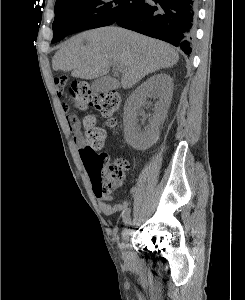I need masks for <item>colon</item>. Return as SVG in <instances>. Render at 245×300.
<instances>
[{
	"label": "colon",
	"instance_id": "5ec220e1",
	"mask_svg": "<svg viewBox=\"0 0 245 300\" xmlns=\"http://www.w3.org/2000/svg\"><path fill=\"white\" fill-rule=\"evenodd\" d=\"M59 94H68L79 108L90 106L98 110L107 119V125H116L115 114L120 106V96L115 91L93 92L85 81H75L68 85L64 76L55 79ZM85 144L79 152L85 168L90 176L94 192L100 196H108L120 186L128 164L124 160L110 163L105 154L99 153L105 141V132L96 125L93 116L83 118Z\"/></svg>",
	"mask_w": 245,
	"mask_h": 300
}]
</instances>
